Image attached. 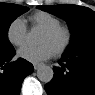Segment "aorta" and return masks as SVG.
<instances>
[{"label": "aorta", "mask_w": 95, "mask_h": 95, "mask_svg": "<svg viewBox=\"0 0 95 95\" xmlns=\"http://www.w3.org/2000/svg\"><path fill=\"white\" fill-rule=\"evenodd\" d=\"M35 34L33 31L29 32L27 35V38L32 40L34 39ZM54 76L53 69L50 66L47 65H41L37 69V77L41 82L49 83Z\"/></svg>", "instance_id": "obj_1"}]
</instances>
